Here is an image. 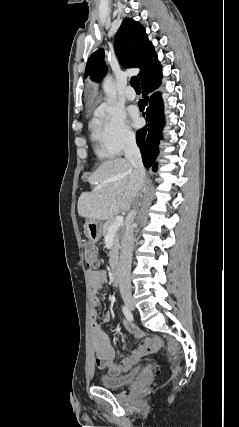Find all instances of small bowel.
Masks as SVG:
<instances>
[{
	"label": "small bowel",
	"instance_id": "obj_1",
	"mask_svg": "<svg viewBox=\"0 0 239 427\" xmlns=\"http://www.w3.org/2000/svg\"><path fill=\"white\" fill-rule=\"evenodd\" d=\"M88 277L91 290L92 339L96 355V365L99 368H106L109 375L118 376L131 369L147 352H155L158 350L160 339L156 336L144 338L142 331L138 327L127 322L126 329L128 332L137 339H143V341L138 344L127 357L118 363L115 362L116 351L105 332V326L111 322L112 314L107 312L103 317L102 324L97 323V308L101 305L99 293L104 286L108 284L109 279L107 273L102 269L88 271Z\"/></svg>",
	"mask_w": 239,
	"mask_h": 427
}]
</instances>
